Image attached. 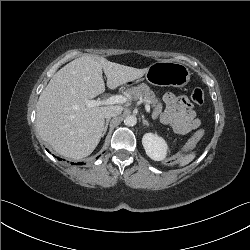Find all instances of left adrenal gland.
Listing matches in <instances>:
<instances>
[{
    "mask_svg": "<svg viewBox=\"0 0 250 250\" xmlns=\"http://www.w3.org/2000/svg\"><path fill=\"white\" fill-rule=\"evenodd\" d=\"M143 125L149 126V122L145 119H142Z\"/></svg>",
    "mask_w": 250,
    "mask_h": 250,
    "instance_id": "1",
    "label": "left adrenal gland"
}]
</instances>
